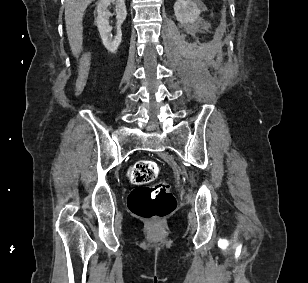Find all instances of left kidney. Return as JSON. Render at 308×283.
Returning a JSON list of instances; mask_svg holds the SVG:
<instances>
[{"label": "left kidney", "instance_id": "1", "mask_svg": "<svg viewBox=\"0 0 308 283\" xmlns=\"http://www.w3.org/2000/svg\"><path fill=\"white\" fill-rule=\"evenodd\" d=\"M204 5L199 0H177L174 4L176 20L182 24H193L199 18Z\"/></svg>", "mask_w": 308, "mask_h": 283}]
</instances>
